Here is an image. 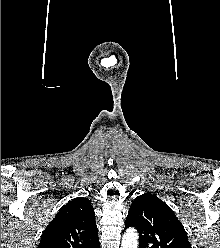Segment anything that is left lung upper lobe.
Segmentation results:
<instances>
[{
    "label": "left lung upper lobe",
    "mask_w": 220,
    "mask_h": 248,
    "mask_svg": "<svg viewBox=\"0 0 220 248\" xmlns=\"http://www.w3.org/2000/svg\"><path fill=\"white\" fill-rule=\"evenodd\" d=\"M131 226L139 232L140 248H191L182 223L162 200L149 192L132 202L125 228Z\"/></svg>",
    "instance_id": "obj_1"
}]
</instances>
